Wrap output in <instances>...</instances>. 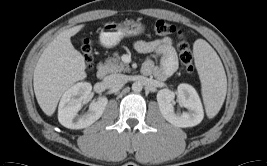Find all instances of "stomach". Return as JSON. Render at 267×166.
Returning <instances> with one entry per match:
<instances>
[{
  "label": "stomach",
  "instance_id": "1",
  "mask_svg": "<svg viewBox=\"0 0 267 166\" xmlns=\"http://www.w3.org/2000/svg\"><path fill=\"white\" fill-rule=\"evenodd\" d=\"M143 31L144 25L133 20L107 23L100 33V43L103 47L112 48L118 45L124 37L136 36Z\"/></svg>",
  "mask_w": 267,
  "mask_h": 166
}]
</instances>
